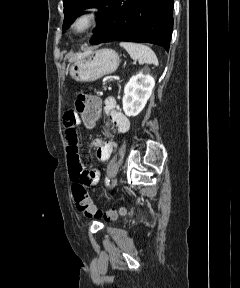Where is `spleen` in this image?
I'll return each mask as SVG.
<instances>
[{
    "label": "spleen",
    "instance_id": "obj_1",
    "mask_svg": "<svg viewBox=\"0 0 240 288\" xmlns=\"http://www.w3.org/2000/svg\"><path fill=\"white\" fill-rule=\"evenodd\" d=\"M120 46L129 53L132 59L138 60L139 63L158 65L156 54L147 45L133 42H121Z\"/></svg>",
    "mask_w": 240,
    "mask_h": 288
}]
</instances>
